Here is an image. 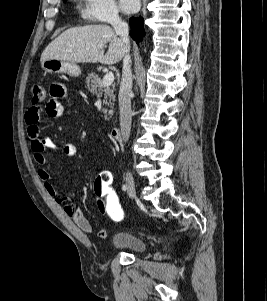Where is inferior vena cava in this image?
I'll list each match as a JSON object with an SVG mask.
<instances>
[{"label":"inferior vena cava","mask_w":267,"mask_h":301,"mask_svg":"<svg viewBox=\"0 0 267 301\" xmlns=\"http://www.w3.org/2000/svg\"><path fill=\"white\" fill-rule=\"evenodd\" d=\"M111 24L115 32L121 37L122 42L125 44L127 50L123 59L122 79L118 95L119 108H120V130L122 139L127 142L131 131V99L130 93L132 89V72H131V58L129 55L130 42H129V28L128 24L122 21L117 14L111 17Z\"/></svg>","instance_id":"1"}]
</instances>
